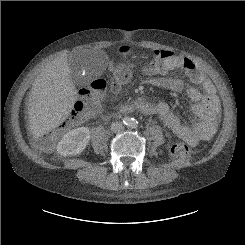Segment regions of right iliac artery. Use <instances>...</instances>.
I'll return each instance as SVG.
<instances>
[{
  "instance_id": "right-iliac-artery-1",
  "label": "right iliac artery",
  "mask_w": 245,
  "mask_h": 245,
  "mask_svg": "<svg viewBox=\"0 0 245 245\" xmlns=\"http://www.w3.org/2000/svg\"><path fill=\"white\" fill-rule=\"evenodd\" d=\"M123 122H124V123H128V122H129V118L125 117V118L123 119Z\"/></svg>"
}]
</instances>
